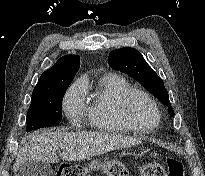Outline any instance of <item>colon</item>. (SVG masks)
Instances as JSON below:
<instances>
[{"instance_id": "obj_1", "label": "colon", "mask_w": 205, "mask_h": 176, "mask_svg": "<svg viewBox=\"0 0 205 176\" xmlns=\"http://www.w3.org/2000/svg\"><path fill=\"white\" fill-rule=\"evenodd\" d=\"M167 169L158 163H147L140 167V176H184L182 163L176 158L167 159ZM95 168L102 169L107 176H126L127 168L123 161L114 159L111 161L99 160L94 164ZM56 176H85L82 166L64 162L58 167Z\"/></svg>"}]
</instances>
